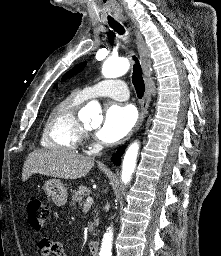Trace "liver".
Segmentation results:
<instances>
[{
    "mask_svg": "<svg viewBox=\"0 0 221 256\" xmlns=\"http://www.w3.org/2000/svg\"><path fill=\"white\" fill-rule=\"evenodd\" d=\"M93 165V158L65 150H35L24 162L22 180L25 182L35 173L74 180L87 175Z\"/></svg>",
    "mask_w": 221,
    "mask_h": 256,
    "instance_id": "6515ba94",
    "label": "liver"
}]
</instances>
